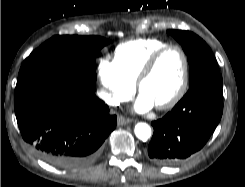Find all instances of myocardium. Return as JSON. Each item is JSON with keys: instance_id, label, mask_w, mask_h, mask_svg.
Segmentation results:
<instances>
[{"instance_id": "myocardium-1", "label": "myocardium", "mask_w": 245, "mask_h": 187, "mask_svg": "<svg viewBox=\"0 0 245 187\" xmlns=\"http://www.w3.org/2000/svg\"><path fill=\"white\" fill-rule=\"evenodd\" d=\"M176 50L179 52L182 62H183V73L180 85L176 92L165 102L155 105L158 110H167L174 107L180 100L184 97L187 92L188 84H189V60L185 53V51L178 45L169 44L157 50L155 53L151 55V57L147 60L139 75L137 77L135 86L138 92L141 93L142 84L145 80L151 75L153 70L155 69L159 59L168 51Z\"/></svg>"}]
</instances>
